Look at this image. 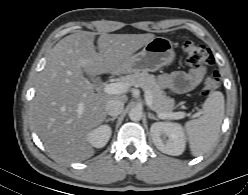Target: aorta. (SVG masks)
Here are the masks:
<instances>
[{
    "instance_id": "obj_1",
    "label": "aorta",
    "mask_w": 248,
    "mask_h": 195,
    "mask_svg": "<svg viewBox=\"0 0 248 195\" xmlns=\"http://www.w3.org/2000/svg\"><path fill=\"white\" fill-rule=\"evenodd\" d=\"M128 116L132 121H139L142 119L143 116L142 109L138 107H134L130 109Z\"/></svg>"
}]
</instances>
